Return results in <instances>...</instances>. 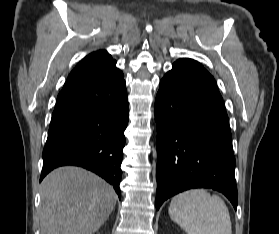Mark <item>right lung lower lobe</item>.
Here are the masks:
<instances>
[{"mask_svg": "<svg viewBox=\"0 0 279 234\" xmlns=\"http://www.w3.org/2000/svg\"><path fill=\"white\" fill-rule=\"evenodd\" d=\"M128 120L126 83L115 64L99 76L63 87L43 150L40 182L56 167L76 165L104 178L121 198Z\"/></svg>", "mask_w": 279, "mask_h": 234, "instance_id": "1", "label": "right lung lower lobe"}]
</instances>
